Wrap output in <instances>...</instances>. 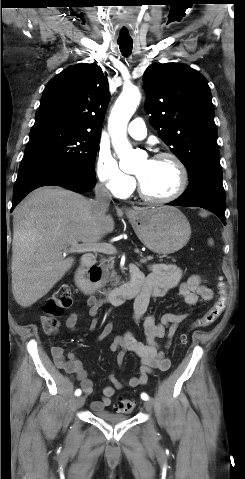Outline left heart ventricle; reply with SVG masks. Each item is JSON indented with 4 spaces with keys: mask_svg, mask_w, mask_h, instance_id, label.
<instances>
[{
    "mask_svg": "<svg viewBox=\"0 0 245 479\" xmlns=\"http://www.w3.org/2000/svg\"><path fill=\"white\" fill-rule=\"evenodd\" d=\"M136 176L147 194L163 197L171 194L178 183V170L170 159L143 160Z\"/></svg>",
    "mask_w": 245,
    "mask_h": 479,
    "instance_id": "left-heart-ventricle-1",
    "label": "left heart ventricle"
}]
</instances>
